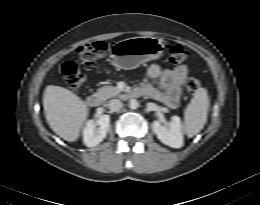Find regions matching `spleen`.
I'll list each match as a JSON object with an SVG mask.
<instances>
[{"mask_svg": "<svg viewBox=\"0 0 260 205\" xmlns=\"http://www.w3.org/2000/svg\"><path fill=\"white\" fill-rule=\"evenodd\" d=\"M210 100L205 88H198L184 111V132L189 138L198 134L207 122Z\"/></svg>", "mask_w": 260, "mask_h": 205, "instance_id": "1", "label": "spleen"}]
</instances>
